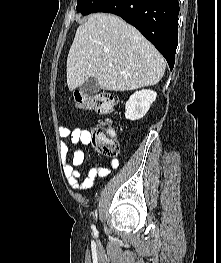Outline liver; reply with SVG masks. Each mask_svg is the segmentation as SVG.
<instances>
[{
    "label": "liver",
    "mask_w": 221,
    "mask_h": 263,
    "mask_svg": "<svg viewBox=\"0 0 221 263\" xmlns=\"http://www.w3.org/2000/svg\"><path fill=\"white\" fill-rule=\"evenodd\" d=\"M66 67L71 91L90 77L103 90L127 91L157 84L166 62L133 26L115 15L97 13L77 28Z\"/></svg>",
    "instance_id": "6515ba94"
}]
</instances>
